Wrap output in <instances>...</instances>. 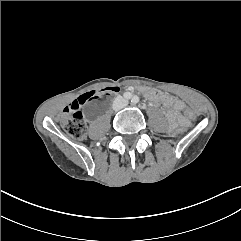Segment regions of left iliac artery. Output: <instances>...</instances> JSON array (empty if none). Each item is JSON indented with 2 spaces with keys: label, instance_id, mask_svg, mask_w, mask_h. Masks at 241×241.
<instances>
[{
  "label": "left iliac artery",
  "instance_id": "1",
  "mask_svg": "<svg viewBox=\"0 0 241 241\" xmlns=\"http://www.w3.org/2000/svg\"><path fill=\"white\" fill-rule=\"evenodd\" d=\"M131 102H132L133 104H136V103L139 102V98H138L137 96H133Z\"/></svg>",
  "mask_w": 241,
  "mask_h": 241
}]
</instances>
